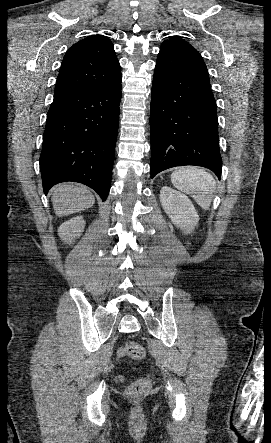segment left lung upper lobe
Here are the masks:
<instances>
[{"label":"left lung upper lobe","instance_id":"5c2ea615","mask_svg":"<svg viewBox=\"0 0 271 443\" xmlns=\"http://www.w3.org/2000/svg\"><path fill=\"white\" fill-rule=\"evenodd\" d=\"M163 47L166 46H182L191 50H195L188 42H186L185 40H183L181 37L179 36H172L170 37L169 40H166L162 43Z\"/></svg>","mask_w":271,"mask_h":443}]
</instances>
